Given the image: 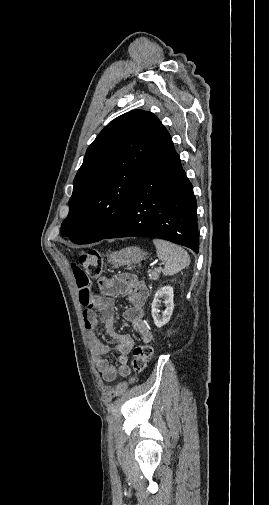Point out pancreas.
Returning a JSON list of instances; mask_svg holds the SVG:
<instances>
[{
  "label": "pancreas",
  "mask_w": 269,
  "mask_h": 505,
  "mask_svg": "<svg viewBox=\"0 0 269 505\" xmlns=\"http://www.w3.org/2000/svg\"><path fill=\"white\" fill-rule=\"evenodd\" d=\"M149 277L152 279V280H157L160 273H161V269H156V270H153V271H149Z\"/></svg>",
  "instance_id": "1"
}]
</instances>
